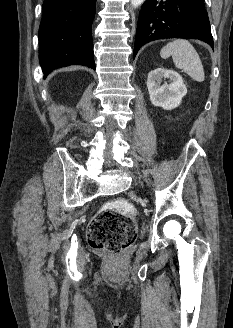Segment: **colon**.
<instances>
[{
    "label": "colon",
    "mask_w": 233,
    "mask_h": 328,
    "mask_svg": "<svg viewBox=\"0 0 233 328\" xmlns=\"http://www.w3.org/2000/svg\"><path fill=\"white\" fill-rule=\"evenodd\" d=\"M134 215L135 208L127 200L108 202L88 225L89 245L95 250L121 254L135 241Z\"/></svg>",
    "instance_id": "5ec220e1"
}]
</instances>
